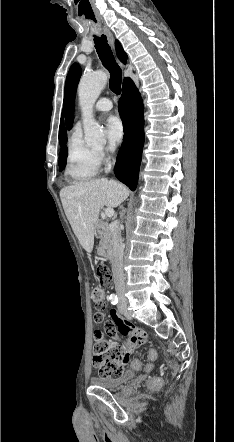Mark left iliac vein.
I'll return each instance as SVG.
<instances>
[{
	"label": "left iliac vein",
	"instance_id": "4c4485c4",
	"mask_svg": "<svg viewBox=\"0 0 234 442\" xmlns=\"http://www.w3.org/2000/svg\"><path fill=\"white\" fill-rule=\"evenodd\" d=\"M118 309H119L120 313H124V311H125L124 306H123L122 303L119 304Z\"/></svg>",
	"mask_w": 234,
	"mask_h": 442
}]
</instances>
